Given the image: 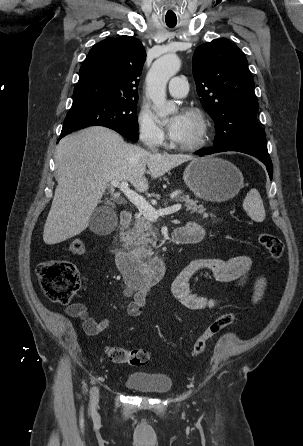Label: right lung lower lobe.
I'll list each match as a JSON object with an SVG mask.
<instances>
[{
	"label": "right lung lower lobe",
	"mask_w": 303,
	"mask_h": 446,
	"mask_svg": "<svg viewBox=\"0 0 303 446\" xmlns=\"http://www.w3.org/2000/svg\"><path fill=\"white\" fill-rule=\"evenodd\" d=\"M64 136H65V135H60V138H59V140H60L61 138H63ZM59 140H58V141H59Z\"/></svg>",
	"instance_id": "right-lung-lower-lobe-1"
}]
</instances>
